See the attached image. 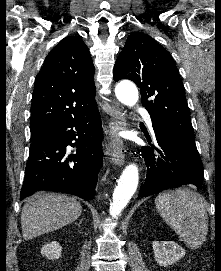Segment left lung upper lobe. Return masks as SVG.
<instances>
[{"label":"left lung upper lobe","mask_w":221,"mask_h":271,"mask_svg":"<svg viewBox=\"0 0 221 271\" xmlns=\"http://www.w3.org/2000/svg\"><path fill=\"white\" fill-rule=\"evenodd\" d=\"M130 79L140 88L152 122L195 141L184 86L170 53L147 34L132 33L114 66V80Z\"/></svg>","instance_id":"left-lung-upper-lobe-1"}]
</instances>
